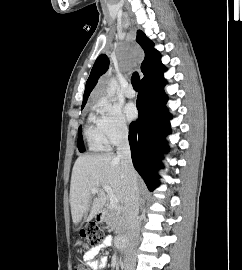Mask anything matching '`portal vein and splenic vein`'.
<instances>
[{
    "label": "portal vein and splenic vein",
    "mask_w": 242,
    "mask_h": 270,
    "mask_svg": "<svg viewBox=\"0 0 242 270\" xmlns=\"http://www.w3.org/2000/svg\"><path fill=\"white\" fill-rule=\"evenodd\" d=\"M102 187L106 191V193L108 194L109 199H110V203L113 204V205H117L119 203V199L117 198L116 195H114V193L112 192L111 187L108 186V185H103ZM91 191H92V193H96L97 192V186H94Z\"/></svg>",
    "instance_id": "1"
}]
</instances>
